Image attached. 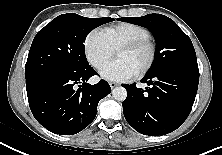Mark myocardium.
<instances>
[{
  "label": "myocardium",
  "instance_id": "1",
  "mask_svg": "<svg viewBox=\"0 0 222 155\" xmlns=\"http://www.w3.org/2000/svg\"><path fill=\"white\" fill-rule=\"evenodd\" d=\"M142 47H148L150 51V55H149V59L147 63L143 66V68H141L137 73H135V76L137 78H141L145 76L154 66V63L157 57V47L153 39L151 37L138 39L130 43H126L120 46L116 50V53H118L120 51H135Z\"/></svg>",
  "mask_w": 222,
  "mask_h": 155
}]
</instances>
